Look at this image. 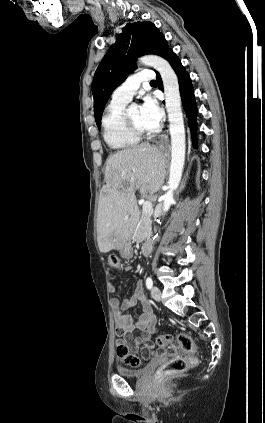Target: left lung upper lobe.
I'll return each mask as SVG.
<instances>
[{"label":"left lung upper lobe","mask_w":265,"mask_h":423,"mask_svg":"<svg viewBox=\"0 0 265 423\" xmlns=\"http://www.w3.org/2000/svg\"><path fill=\"white\" fill-rule=\"evenodd\" d=\"M99 64L92 82L94 116L100 128L103 108L113 90L135 69L144 54L164 57L169 49L164 36L151 22L129 23Z\"/></svg>","instance_id":"left-lung-upper-lobe-1"}]
</instances>
